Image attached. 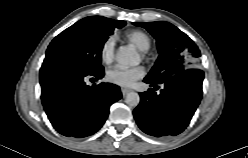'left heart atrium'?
Wrapping results in <instances>:
<instances>
[{
	"mask_svg": "<svg viewBox=\"0 0 248 158\" xmlns=\"http://www.w3.org/2000/svg\"><path fill=\"white\" fill-rule=\"evenodd\" d=\"M143 75L144 69L141 66L121 67L116 65L107 70L106 79L111 84L129 87Z\"/></svg>",
	"mask_w": 248,
	"mask_h": 158,
	"instance_id": "obj_1",
	"label": "left heart atrium"
}]
</instances>
